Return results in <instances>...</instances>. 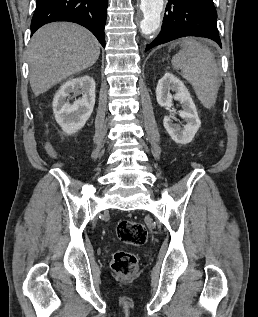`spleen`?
Segmentation results:
<instances>
[{"label": "spleen", "mask_w": 258, "mask_h": 317, "mask_svg": "<svg viewBox=\"0 0 258 317\" xmlns=\"http://www.w3.org/2000/svg\"><path fill=\"white\" fill-rule=\"evenodd\" d=\"M182 48L174 54V68H181L182 76L192 84L205 108H212L220 86L218 66L210 48L194 38L182 40Z\"/></svg>", "instance_id": "spleen-1"}]
</instances>
